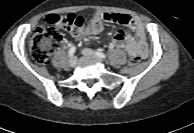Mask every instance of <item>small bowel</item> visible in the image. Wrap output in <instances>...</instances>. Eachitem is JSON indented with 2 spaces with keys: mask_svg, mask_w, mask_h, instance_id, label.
<instances>
[{
  "mask_svg": "<svg viewBox=\"0 0 194 133\" xmlns=\"http://www.w3.org/2000/svg\"><path fill=\"white\" fill-rule=\"evenodd\" d=\"M104 22L116 23L123 26L114 35L112 42L108 46L109 49H125L130 58L133 56H138L142 59L148 57L146 27L140 18L133 15L114 12H96L90 22L74 36L80 39L90 35H97L103 30Z\"/></svg>",
  "mask_w": 194,
  "mask_h": 133,
  "instance_id": "small-bowel-1",
  "label": "small bowel"
}]
</instances>
